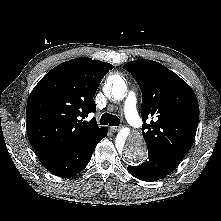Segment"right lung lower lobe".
Returning a JSON list of instances; mask_svg holds the SVG:
<instances>
[{"label":"right lung lower lobe","instance_id":"obj_1","mask_svg":"<svg viewBox=\"0 0 221 221\" xmlns=\"http://www.w3.org/2000/svg\"><path fill=\"white\" fill-rule=\"evenodd\" d=\"M106 135L107 131L103 130L98 135L41 162L56 176L63 178L75 176L88 165L97 143Z\"/></svg>","mask_w":221,"mask_h":221}]
</instances>
